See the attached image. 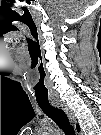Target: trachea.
I'll list each match as a JSON object with an SVG mask.
<instances>
[{
    "label": "trachea",
    "mask_w": 101,
    "mask_h": 135,
    "mask_svg": "<svg viewBox=\"0 0 101 135\" xmlns=\"http://www.w3.org/2000/svg\"><path fill=\"white\" fill-rule=\"evenodd\" d=\"M42 111L51 118L64 132L66 135H74L75 131L71 126L69 119L61 108H57L48 103H38Z\"/></svg>",
    "instance_id": "trachea-1"
}]
</instances>
